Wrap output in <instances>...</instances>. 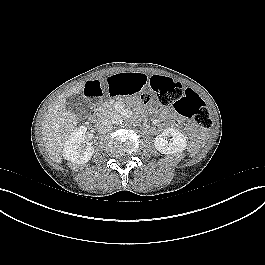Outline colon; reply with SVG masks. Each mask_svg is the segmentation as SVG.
<instances>
[{
	"instance_id": "1",
	"label": "colon",
	"mask_w": 265,
	"mask_h": 265,
	"mask_svg": "<svg viewBox=\"0 0 265 265\" xmlns=\"http://www.w3.org/2000/svg\"><path fill=\"white\" fill-rule=\"evenodd\" d=\"M153 93L144 92L142 101L147 105L158 103L162 106H173L177 113L194 118L203 128L212 125V119L203 99L192 89L184 88L180 83L161 75L150 79Z\"/></svg>"
}]
</instances>
